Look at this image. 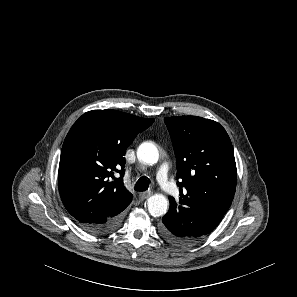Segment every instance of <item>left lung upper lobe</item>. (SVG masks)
I'll use <instances>...</instances> for the list:
<instances>
[{"label":"left lung upper lobe","mask_w":297,"mask_h":297,"mask_svg":"<svg viewBox=\"0 0 297 297\" xmlns=\"http://www.w3.org/2000/svg\"><path fill=\"white\" fill-rule=\"evenodd\" d=\"M177 158L182 231L193 241L212 232L229 209L237 170L231 140L217 122L197 116L164 118ZM184 188V191H183Z\"/></svg>","instance_id":"1"}]
</instances>
